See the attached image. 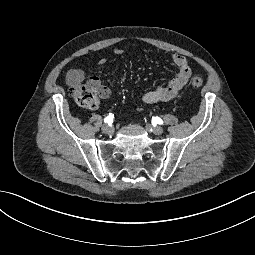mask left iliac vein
<instances>
[{"mask_svg":"<svg viewBox=\"0 0 255 255\" xmlns=\"http://www.w3.org/2000/svg\"><path fill=\"white\" fill-rule=\"evenodd\" d=\"M146 128L150 131H152L156 135H161L163 133V129L160 126L152 127L150 125H146Z\"/></svg>","mask_w":255,"mask_h":255,"instance_id":"obj_1","label":"left iliac vein"}]
</instances>
